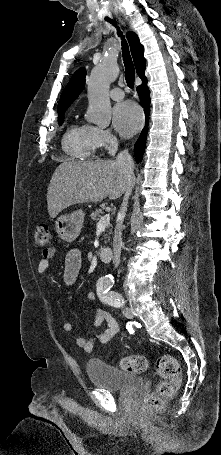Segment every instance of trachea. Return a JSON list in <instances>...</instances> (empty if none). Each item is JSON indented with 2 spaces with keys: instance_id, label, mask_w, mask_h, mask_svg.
Here are the masks:
<instances>
[{
  "instance_id": "obj_1",
  "label": "trachea",
  "mask_w": 221,
  "mask_h": 455,
  "mask_svg": "<svg viewBox=\"0 0 221 455\" xmlns=\"http://www.w3.org/2000/svg\"><path fill=\"white\" fill-rule=\"evenodd\" d=\"M106 20L117 28V33L122 39V55H123V61H124V66H125L126 83L129 88H133L134 80H135V68H134V64L132 62L128 44L125 40V37L123 36V33L120 31L119 27H117L116 21H114L112 19H108V18Z\"/></svg>"
}]
</instances>
